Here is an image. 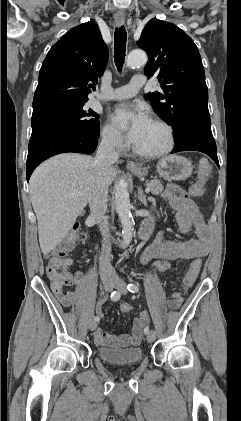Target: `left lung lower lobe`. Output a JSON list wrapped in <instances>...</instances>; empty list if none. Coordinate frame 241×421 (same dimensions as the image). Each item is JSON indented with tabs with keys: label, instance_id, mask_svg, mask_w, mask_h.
<instances>
[{
	"label": "left lung lower lobe",
	"instance_id": "0a47b994",
	"mask_svg": "<svg viewBox=\"0 0 241 421\" xmlns=\"http://www.w3.org/2000/svg\"><path fill=\"white\" fill-rule=\"evenodd\" d=\"M171 153L180 151H200L211 157L219 166L216 144L211 132L210 119L198 120L187 133L175 141Z\"/></svg>",
	"mask_w": 241,
	"mask_h": 421
}]
</instances>
